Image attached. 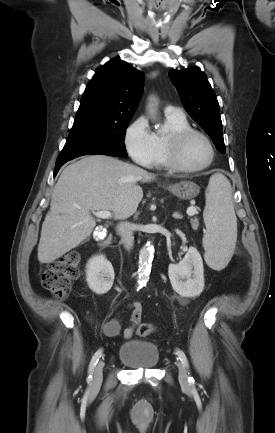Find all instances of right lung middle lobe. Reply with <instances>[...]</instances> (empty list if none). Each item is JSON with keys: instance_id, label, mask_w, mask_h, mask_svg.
<instances>
[{"instance_id": "1", "label": "right lung middle lobe", "mask_w": 275, "mask_h": 433, "mask_svg": "<svg viewBox=\"0 0 275 433\" xmlns=\"http://www.w3.org/2000/svg\"><path fill=\"white\" fill-rule=\"evenodd\" d=\"M129 121L75 120L56 163L92 154L127 157L123 140Z\"/></svg>"}]
</instances>
